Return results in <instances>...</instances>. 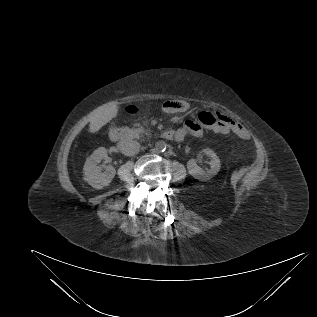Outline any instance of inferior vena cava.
<instances>
[{"label":"inferior vena cava","mask_w":317,"mask_h":317,"mask_svg":"<svg viewBox=\"0 0 317 317\" xmlns=\"http://www.w3.org/2000/svg\"><path fill=\"white\" fill-rule=\"evenodd\" d=\"M118 148L126 156H133L139 152L140 144L132 139H123L118 143Z\"/></svg>","instance_id":"602c4592"}]
</instances>
